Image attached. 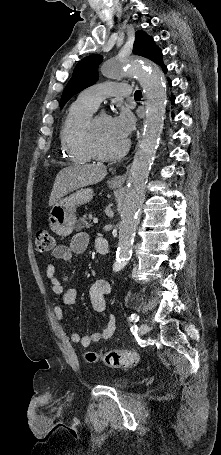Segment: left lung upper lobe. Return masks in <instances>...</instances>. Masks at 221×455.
Listing matches in <instances>:
<instances>
[{"instance_id":"1","label":"left lung upper lobe","mask_w":221,"mask_h":455,"mask_svg":"<svg viewBox=\"0 0 221 455\" xmlns=\"http://www.w3.org/2000/svg\"><path fill=\"white\" fill-rule=\"evenodd\" d=\"M133 53L146 57L162 67L164 66L161 50L155 45L153 38L143 31L136 32ZM102 59L103 57L101 55L94 54L83 58L76 65L73 75L63 91L60 108H63L65 103L75 94L97 81L98 66L102 62Z\"/></svg>"}]
</instances>
